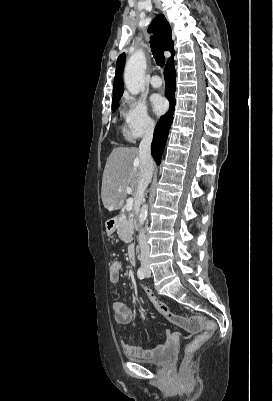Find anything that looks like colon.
Here are the masks:
<instances>
[{
	"label": "colon",
	"mask_w": 273,
	"mask_h": 401,
	"mask_svg": "<svg viewBox=\"0 0 273 401\" xmlns=\"http://www.w3.org/2000/svg\"><path fill=\"white\" fill-rule=\"evenodd\" d=\"M139 289L140 296L144 297L151 307L161 316H167L169 321H173L179 328H184V331L189 334L200 333L198 337H192L188 344L184 345V363L179 367L178 372L184 381L192 378L191 369L188 367L187 358H194L196 353L202 352L204 342L211 339V335L216 330L217 321L215 319H187L180 312H172V309L167 304H163L159 297L151 293V288L147 283H142ZM196 318V315H193Z\"/></svg>",
	"instance_id": "obj_1"
}]
</instances>
